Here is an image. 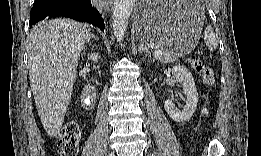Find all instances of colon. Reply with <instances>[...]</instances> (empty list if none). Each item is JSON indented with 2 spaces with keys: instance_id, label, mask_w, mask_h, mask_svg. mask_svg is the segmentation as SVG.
I'll return each mask as SVG.
<instances>
[{
  "instance_id": "colon-1",
  "label": "colon",
  "mask_w": 261,
  "mask_h": 156,
  "mask_svg": "<svg viewBox=\"0 0 261 156\" xmlns=\"http://www.w3.org/2000/svg\"><path fill=\"white\" fill-rule=\"evenodd\" d=\"M191 67L202 77L204 83L212 86L215 75L212 68L205 65L201 60H193ZM81 130L76 120H68L62 127L57 144V150L61 156H76L79 151Z\"/></svg>"
}]
</instances>
